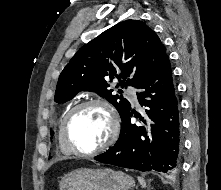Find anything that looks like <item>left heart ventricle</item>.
Masks as SVG:
<instances>
[{
  "instance_id": "1",
  "label": "left heart ventricle",
  "mask_w": 221,
  "mask_h": 190,
  "mask_svg": "<svg viewBox=\"0 0 221 190\" xmlns=\"http://www.w3.org/2000/svg\"><path fill=\"white\" fill-rule=\"evenodd\" d=\"M110 125V116L105 108L90 105L74 114L68 133L78 148L90 150L105 142L110 133Z\"/></svg>"
}]
</instances>
